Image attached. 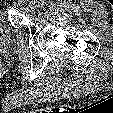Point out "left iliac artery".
Masks as SVG:
<instances>
[{
    "label": "left iliac artery",
    "mask_w": 113,
    "mask_h": 113,
    "mask_svg": "<svg viewBox=\"0 0 113 113\" xmlns=\"http://www.w3.org/2000/svg\"><path fill=\"white\" fill-rule=\"evenodd\" d=\"M41 1V0H40ZM40 2L39 1H37V4H39Z\"/></svg>",
    "instance_id": "obj_1"
}]
</instances>
